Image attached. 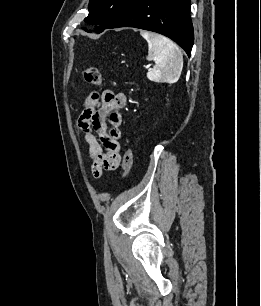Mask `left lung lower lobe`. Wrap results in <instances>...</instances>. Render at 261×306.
Masks as SVG:
<instances>
[{
  "mask_svg": "<svg viewBox=\"0 0 261 306\" xmlns=\"http://www.w3.org/2000/svg\"><path fill=\"white\" fill-rule=\"evenodd\" d=\"M190 0H133L111 27H135L163 34L179 44L188 56L194 43Z\"/></svg>",
  "mask_w": 261,
  "mask_h": 306,
  "instance_id": "0a47b994",
  "label": "left lung lower lobe"
}]
</instances>
